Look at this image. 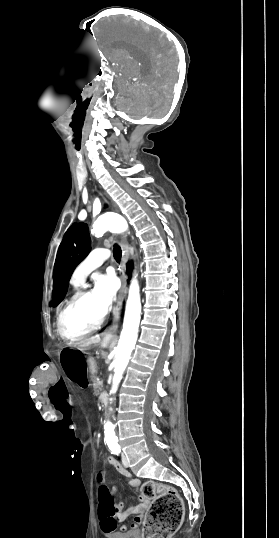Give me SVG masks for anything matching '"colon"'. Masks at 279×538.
<instances>
[{
    "instance_id": "colon-1",
    "label": "colon",
    "mask_w": 279,
    "mask_h": 538,
    "mask_svg": "<svg viewBox=\"0 0 279 538\" xmlns=\"http://www.w3.org/2000/svg\"><path fill=\"white\" fill-rule=\"evenodd\" d=\"M99 515L110 518L116 514L111 493L102 475L97 476ZM142 496L151 499L143 528L144 538H170L180 527L183 519V501L177 491L169 486L148 481L142 485Z\"/></svg>"
}]
</instances>
